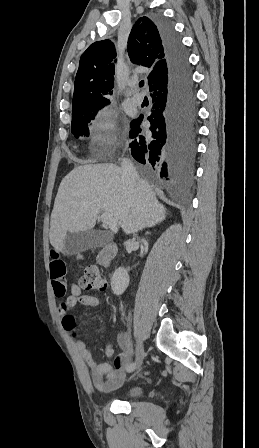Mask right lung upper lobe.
Returning <instances> with one entry per match:
<instances>
[{
    "label": "right lung upper lobe",
    "instance_id": "right-lung-upper-lobe-1",
    "mask_svg": "<svg viewBox=\"0 0 259 448\" xmlns=\"http://www.w3.org/2000/svg\"><path fill=\"white\" fill-rule=\"evenodd\" d=\"M127 51L133 63L152 67L148 76L150 92L168 84L169 69L158 25L148 17H140L129 35ZM116 50L110 40L91 44L82 54L75 78L72 112L109 103L112 95Z\"/></svg>",
    "mask_w": 259,
    "mask_h": 448
}]
</instances>
